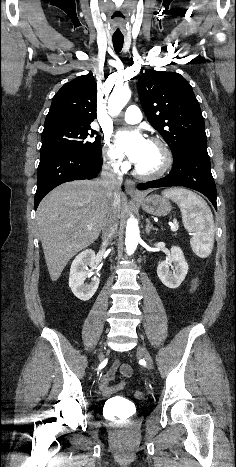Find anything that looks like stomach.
<instances>
[{
    "mask_svg": "<svg viewBox=\"0 0 236 467\" xmlns=\"http://www.w3.org/2000/svg\"><path fill=\"white\" fill-rule=\"evenodd\" d=\"M143 210L155 216H166L171 211V203L163 196L152 194L139 198Z\"/></svg>",
    "mask_w": 236,
    "mask_h": 467,
    "instance_id": "obj_1",
    "label": "stomach"
}]
</instances>
